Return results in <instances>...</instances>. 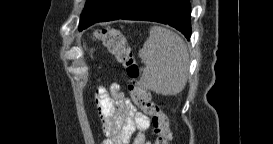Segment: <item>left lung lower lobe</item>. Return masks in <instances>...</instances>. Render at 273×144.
Here are the masks:
<instances>
[{"mask_svg":"<svg viewBox=\"0 0 273 144\" xmlns=\"http://www.w3.org/2000/svg\"><path fill=\"white\" fill-rule=\"evenodd\" d=\"M84 8L79 30L102 21L116 19L156 21L176 28L190 40L191 5L189 0H93Z\"/></svg>","mask_w":273,"mask_h":144,"instance_id":"1","label":"left lung lower lobe"}]
</instances>
